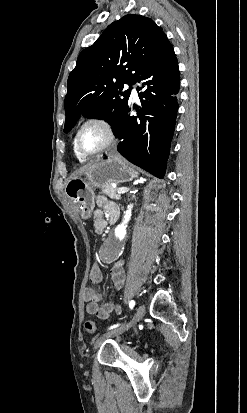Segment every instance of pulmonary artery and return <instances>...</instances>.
<instances>
[{"label": "pulmonary artery", "instance_id": "pulmonary-artery-1", "mask_svg": "<svg viewBox=\"0 0 247 413\" xmlns=\"http://www.w3.org/2000/svg\"><path fill=\"white\" fill-rule=\"evenodd\" d=\"M124 88L125 89H131V94H132V97L136 100L137 98H138V94H137V90H136V85H129L128 83H125L124 84Z\"/></svg>", "mask_w": 247, "mask_h": 413}]
</instances>
